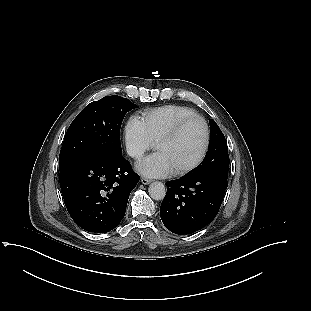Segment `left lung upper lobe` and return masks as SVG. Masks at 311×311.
Returning <instances> with one entry per match:
<instances>
[{
  "mask_svg": "<svg viewBox=\"0 0 311 311\" xmlns=\"http://www.w3.org/2000/svg\"><path fill=\"white\" fill-rule=\"evenodd\" d=\"M209 123L210 142L208 153L202 164L190 176L210 174L227 180L229 168L227 141L216 122L210 119Z\"/></svg>",
  "mask_w": 311,
  "mask_h": 311,
  "instance_id": "1",
  "label": "left lung upper lobe"
}]
</instances>
